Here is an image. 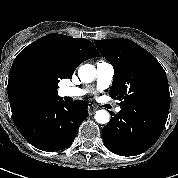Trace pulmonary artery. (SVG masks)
Returning <instances> with one entry per match:
<instances>
[{
    "instance_id": "1",
    "label": "pulmonary artery",
    "mask_w": 178,
    "mask_h": 178,
    "mask_svg": "<svg viewBox=\"0 0 178 178\" xmlns=\"http://www.w3.org/2000/svg\"><path fill=\"white\" fill-rule=\"evenodd\" d=\"M96 74H97V85L100 89L107 88L114 77V68L113 66L105 61H99L96 64ZM85 94V91L77 87H68L63 86L60 88V95L63 97H80ZM120 107L116 108V111L119 112Z\"/></svg>"
}]
</instances>
